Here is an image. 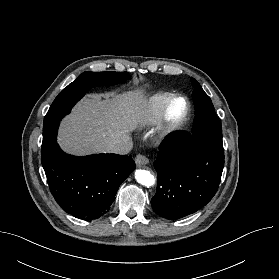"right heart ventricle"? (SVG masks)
Masks as SVG:
<instances>
[{
    "label": "right heart ventricle",
    "mask_w": 279,
    "mask_h": 279,
    "mask_svg": "<svg viewBox=\"0 0 279 279\" xmlns=\"http://www.w3.org/2000/svg\"><path fill=\"white\" fill-rule=\"evenodd\" d=\"M173 95L170 92H159L149 97L139 119L140 125L150 126L158 123L164 105Z\"/></svg>",
    "instance_id": "e07e8e85"
}]
</instances>
